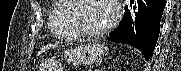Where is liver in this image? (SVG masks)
Wrapping results in <instances>:
<instances>
[{"label":"liver","mask_w":181,"mask_h":71,"mask_svg":"<svg viewBox=\"0 0 181 71\" xmlns=\"http://www.w3.org/2000/svg\"><path fill=\"white\" fill-rule=\"evenodd\" d=\"M52 47H54V45H53V44H50V45L42 48L41 51H40L38 54H41V53L44 52L45 50H47V49H49V48H52Z\"/></svg>","instance_id":"6515ba94"}]
</instances>
